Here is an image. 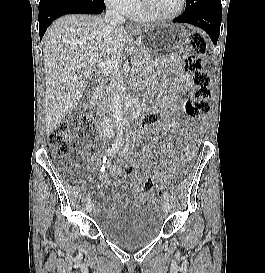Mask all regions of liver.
Returning <instances> with one entry per match:
<instances>
[{
    "label": "liver",
    "mask_w": 265,
    "mask_h": 273,
    "mask_svg": "<svg viewBox=\"0 0 265 273\" xmlns=\"http://www.w3.org/2000/svg\"><path fill=\"white\" fill-rule=\"evenodd\" d=\"M147 26H110L100 16L66 15L43 37L46 93L44 116L50 135L78 105L92 76L90 58L118 60Z\"/></svg>",
    "instance_id": "6515ba94"
}]
</instances>
